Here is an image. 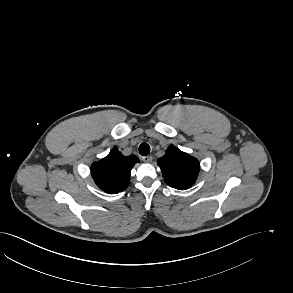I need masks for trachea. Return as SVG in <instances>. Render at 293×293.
<instances>
[{"mask_svg":"<svg viewBox=\"0 0 293 293\" xmlns=\"http://www.w3.org/2000/svg\"><path fill=\"white\" fill-rule=\"evenodd\" d=\"M149 152H150V146L147 143H142L139 146V153L142 156H147L149 154Z\"/></svg>","mask_w":293,"mask_h":293,"instance_id":"3493384b","label":"trachea"}]
</instances>
